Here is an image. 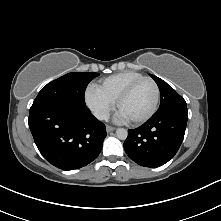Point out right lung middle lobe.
Instances as JSON below:
<instances>
[{"label": "right lung middle lobe", "mask_w": 221, "mask_h": 221, "mask_svg": "<svg viewBox=\"0 0 221 221\" xmlns=\"http://www.w3.org/2000/svg\"><path fill=\"white\" fill-rule=\"evenodd\" d=\"M97 76L99 74L93 72H72L48 83L39 92L30 110L45 104L58 102L84 105L86 87Z\"/></svg>", "instance_id": "obj_1"}]
</instances>
